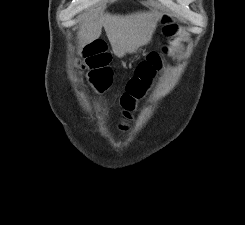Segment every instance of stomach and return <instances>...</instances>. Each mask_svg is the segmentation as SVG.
Segmentation results:
<instances>
[{
  "mask_svg": "<svg viewBox=\"0 0 245 225\" xmlns=\"http://www.w3.org/2000/svg\"><path fill=\"white\" fill-rule=\"evenodd\" d=\"M137 50H138V48L134 49V50L132 51V53H136V52H137Z\"/></svg>",
  "mask_w": 245,
  "mask_h": 225,
  "instance_id": "stomach-1",
  "label": "stomach"
}]
</instances>
